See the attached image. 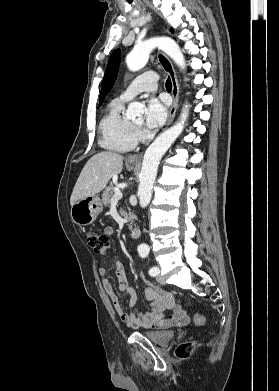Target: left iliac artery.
I'll return each mask as SVG.
<instances>
[{"label":"left iliac artery","instance_id":"obj_1","mask_svg":"<svg viewBox=\"0 0 279 391\" xmlns=\"http://www.w3.org/2000/svg\"><path fill=\"white\" fill-rule=\"evenodd\" d=\"M149 251L146 249H140L139 254L142 258H145L148 256ZM159 274V269L157 267H151L149 269V275L150 276H157Z\"/></svg>","mask_w":279,"mask_h":391}]
</instances>
